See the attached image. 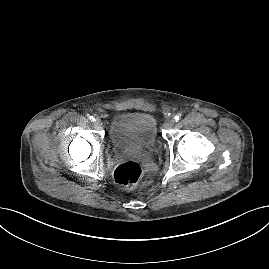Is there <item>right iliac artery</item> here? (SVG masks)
Here are the masks:
<instances>
[{
  "instance_id": "obj_1",
  "label": "right iliac artery",
  "mask_w": 269,
  "mask_h": 269,
  "mask_svg": "<svg viewBox=\"0 0 269 269\" xmlns=\"http://www.w3.org/2000/svg\"><path fill=\"white\" fill-rule=\"evenodd\" d=\"M89 119H90L91 121H94V120H95V118H94L93 116H89Z\"/></svg>"
}]
</instances>
